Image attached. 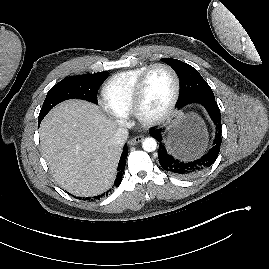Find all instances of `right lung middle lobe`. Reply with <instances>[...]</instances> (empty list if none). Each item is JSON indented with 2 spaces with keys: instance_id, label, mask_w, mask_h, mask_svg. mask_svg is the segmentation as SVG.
<instances>
[{
  "instance_id": "right-lung-middle-lobe-1",
  "label": "right lung middle lobe",
  "mask_w": 269,
  "mask_h": 269,
  "mask_svg": "<svg viewBox=\"0 0 269 269\" xmlns=\"http://www.w3.org/2000/svg\"><path fill=\"white\" fill-rule=\"evenodd\" d=\"M108 75V72H99L96 74L70 76L61 80L49 90L40 111L38 123H41L54 106L64 100L77 98L97 103L98 89Z\"/></svg>"
}]
</instances>
